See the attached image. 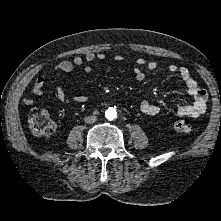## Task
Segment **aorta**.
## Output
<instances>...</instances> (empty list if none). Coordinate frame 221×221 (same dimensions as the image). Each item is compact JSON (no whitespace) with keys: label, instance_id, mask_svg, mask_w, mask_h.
<instances>
[{"label":"aorta","instance_id":"762f6f07","mask_svg":"<svg viewBox=\"0 0 221 221\" xmlns=\"http://www.w3.org/2000/svg\"><path fill=\"white\" fill-rule=\"evenodd\" d=\"M117 116V112L116 109L109 107L106 111H105V117L108 120H114Z\"/></svg>","mask_w":221,"mask_h":221}]
</instances>
